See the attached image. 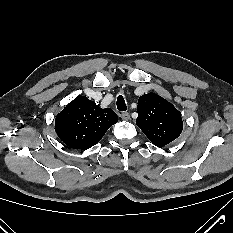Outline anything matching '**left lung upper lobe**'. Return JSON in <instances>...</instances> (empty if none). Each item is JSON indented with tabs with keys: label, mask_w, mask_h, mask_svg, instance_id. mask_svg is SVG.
<instances>
[{
	"label": "left lung upper lobe",
	"mask_w": 233,
	"mask_h": 233,
	"mask_svg": "<svg viewBox=\"0 0 233 233\" xmlns=\"http://www.w3.org/2000/svg\"><path fill=\"white\" fill-rule=\"evenodd\" d=\"M136 124L158 147H163L182 132L181 113L167 100L157 94L148 93L138 100Z\"/></svg>",
	"instance_id": "5c2ea615"
}]
</instances>
